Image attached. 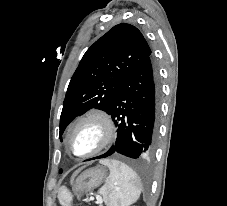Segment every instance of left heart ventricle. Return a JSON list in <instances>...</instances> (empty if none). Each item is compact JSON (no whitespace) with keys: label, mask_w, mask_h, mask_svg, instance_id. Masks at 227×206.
Wrapping results in <instances>:
<instances>
[{"label":"left heart ventricle","mask_w":227,"mask_h":206,"mask_svg":"<svg viewBox=\"0 0 227 206\" xmlns=\"http://www.w3.org/2000/svg\"><path fill=\"white\" fill-rule=\"evenodd\" d=\"M102 130L95 121L82 124L72 135L71 147L76 154H84L93 150L100 142Z\"/></svg>","instance_id":"left-heart-ventricle-1"}]
</instances>
